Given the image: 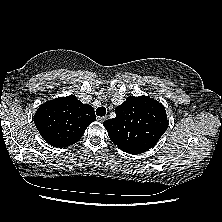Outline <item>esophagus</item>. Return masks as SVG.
I'll return each instance as SVG.
<instances>
[{
    "label": "esophagus",
    "instance_id": "obj_1",
    "mask_svg": "<svg viewBox=\"0 0 222 222\" xmlns=\"http://www.w3.org/2000/svg\"><path fill=\"white\" fill-rule=\"evenodd\" d=\"M107 119L106 116L98 117L97 120L100 122H104Z\"/></svg>",
    "mask_w": 222,
    "mask_h": 222
}]
</instances>
